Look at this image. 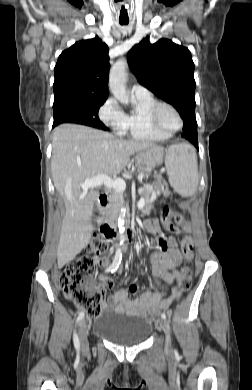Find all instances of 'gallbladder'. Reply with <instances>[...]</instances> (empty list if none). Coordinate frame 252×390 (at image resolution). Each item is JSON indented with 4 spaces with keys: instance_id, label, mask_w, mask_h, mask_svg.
I'll return each mask as SVG.
<instances>
[{
    "instance_id": "1",
    "label": "gallbladder",
    "mask_w": 252,
    "mask_h": 390,
    "mask_svg": "<svg viewBox=\"0 0 252 390\" xmlns=\"http://www.w3.org/2000/svg\"><path fill=\"white\" fill-rule=\"evenodd\" d=\"M91 223H92L93 228L97 227V215L96 214H94L92 216Z\"/></svg>"
}]
</instances>
